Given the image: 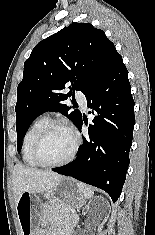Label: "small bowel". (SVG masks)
Masks as SVG:
<instances>
[{
	"instance_id": "small-bowel-1",
	"label": "small bowel",
	"mask_w": 155,
	"mask_h": 235,
	"mask_svg": "<svg viewBox=\"0 0 155 235\" xmlns=\"http://www.w3.org/2000/svg\"><path fill=\"white\" fill-rule=\"evenodd\" d=\"M51 235H69L68 230H60L59 232L52 233Z\"/></svg>"
}]
</instances>
